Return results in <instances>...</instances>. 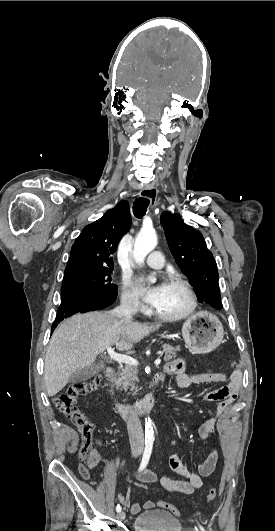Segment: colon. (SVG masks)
I'll return each mask as SVG.
<instances>
[{
  "mask_svg": "<svg viewBox=\"0 0 275 531\" xmlns=\"http://www.w3.org/2000/svg\"><path fill=\"white\" fill-rule=\"evenodd\" d=\"M231 365L233 368L237 369L240 367V362L232 360ZM99 385L100 378L97 377L82 382H77L69 386V388L64 392L59 393L54 400L56 409L72 421L73 425L76 427L81 436L79 450V458L81 463L79 466V472L85 479H90L91 477L90 471L85 461L90 458L93 451L92 444L94 438V428L93 424L87 419L85 413L75 405V401L79 396L97 390ZM141 485L144 487L143 491H145L147 486L145 484ZM216 496L217 490L216 488L212 487L207 493L206 500L208 502H212L216 499ZM159 505L160 509L170 512L175 516H179L178 509L171 503L160 501Z\"/></svg>",
  "mask_w": 275,
  "mask_h": 531,
  "instance_id": "colon-1",
  "label": "colon"
}]
</instances>
